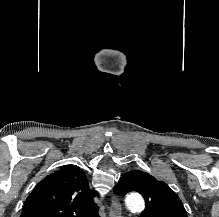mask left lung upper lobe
<instances>
[{
    "mask_svg": "<svg viewBox=\"0 0 219 217\" xmlns=\"http://www.w3.org/2000/svg\"><path fill=\"white\" fill-rule=\"evenodd\" d=\"M140 193L146 203L141 217H187L186 210L177 194L164 182L150 174L133 170L121 177L114 188L117 195L128 192Z\"/></svg>",
    "mask_w": 219,
    "mask_h": 217,
    "instance_id": "1",
    "label": "left lung upper lobe"
}]
</instances>
